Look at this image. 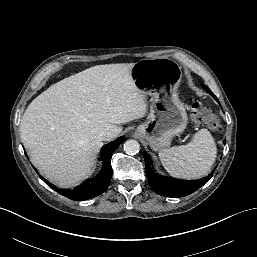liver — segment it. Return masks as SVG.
<instances>
[{"instance_id": "1", "label": "liver", "mask_w": 257, "mask_h": 257, "mask_svg": "<svg viewBox=\"0 0 257 257\" xmlns=\"http://www.w3.org/2000/svg\"><path fill=\"white\" fill-rule=\"evenodd\" d=\"M133 63L90 67L36 97L20 124L32 164L60 187L90 173L102 146L99 134L142 118L147 102L131 76Z\"/></svg>"}]
</instances>
